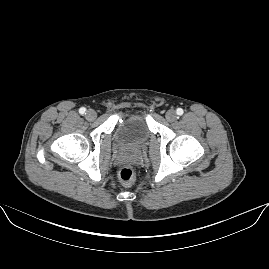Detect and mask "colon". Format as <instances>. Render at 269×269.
<instances>
[{
	"label": "colon",
	"instance_id": "obj_1",
	"mask_svg": "<svg viewBox=\"0 0 269 269\" xmlns=\"http://www.w3.org/2000/svg\"><path fill=\"white\" fill-rule=\"evenodd\" d=\"M135 169L130 164L123 165L119 170V180L125 185H132L135 182Z\"/></svg>",
	"mask_w": 269,
	"mask_h": 269
}]
</instances>
